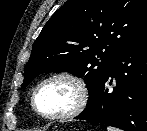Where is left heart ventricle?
Instances as JSON below:
<instances>
[{
  "label": "left heart ventricle",
  "instance_id": "left-heart-ventricle-1",
  "mask_svg": "<svg viewBox=\"0 0 147 131\" xmlns=\"http://www.w3.org/2000/svg\"><path fill=\"white\" fill-rule=\"evenodd\" d=\"M78 91L73 83L65 79H55L45 83L38 91L36 104L47 115L63 114L77 103Z\"/></svg>",
  "mask_w": 147,
  "mask_h": 131
}]
</instances>
